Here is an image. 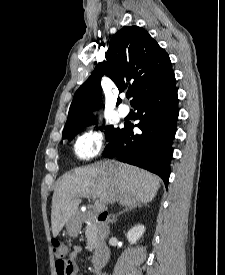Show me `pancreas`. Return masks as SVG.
I'll return each mask as SVG.
<instances>
[{"instance_id": "pancreas-1", "label": "pancreas", "mask_w": 225, "mask_h": 275, "mask_svg": "<svg viewBox=\"0 0 225 275\" xmlns=\"http://www.w3.org/2000/svg\"><path fill=\"white\" fill-rule=\"evenodd\" d=\"M98 226L95 222H91L90 225L86 227V238H87V249L92 251L98 240Z\"/></svg>"}]
</instances>
